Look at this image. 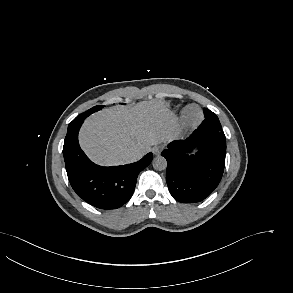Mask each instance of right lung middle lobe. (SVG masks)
<instances>
[{"label": "right lung middle lobe", "instance_id": "right-lung-middle-lobe-1", "mask_svg": "<svg viewBox=\"0 0 293 293\" xmlns=\"http://www.w3.org/2000/svg\"><path fill=\"white\" fill-rule=\"evenodd\" d=\"M103 107H104V106H95V107L89 109L86 113L92 114V113H94V112H96V111L102 109Z\"/></svg>", "mask_w": 293, "mask_h": 293}]
</instances>
